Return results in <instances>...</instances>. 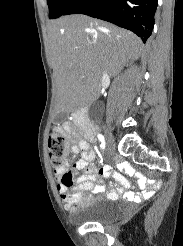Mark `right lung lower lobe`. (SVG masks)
<instances>
[{"label":"right lung lower lobe","instance_id":"98d812e1","mask_svg":"<svg viewBox=\"0 0 183 246\" xmlns=\"http://www.w3.org/2000/svg\"><path fill=\"white\" fill-rule=\"evenodd\" d=\"M157 0H75L63 14H85L131 30L142 41L151 35Z\"/></svg>","mask_w":183,"mask_h":246}]
</instances>
